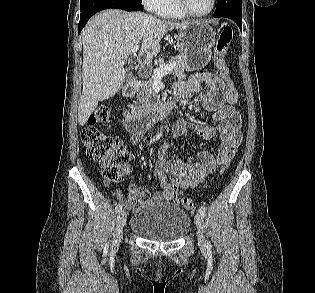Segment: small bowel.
<instances>
[{
    "mask_svg": "<svg viewBox=\"0 0 315 293\" xmlns=\"http://www.w3.org/2000/svg\"><path fill=\"white\" fill-rule=\"evenodd\" d=\"M203 84L207 85L208 92L202 101L203 108L210 113L216 126L191 124L181 119L174 127L171 140L166 142L158 151L153 177L160 183V191L149 196V191L136 185L140 190H131L133 198H126L119 190L113 191V196L125 207L136 212L149 203L175 201L184 190L196 187L202 183L208 174L213 173L216 167L234 157L242 142L241 117L235 103L237 92L230 94L227 85L217 75L209 72L193 74L188 81L178 82L174 86V94L192 100L201 93ZM189 129L206 140L219 135L221 143L214 152L200 151L187 158L170 159L168 150L173 141L184 135ZM142 134H132L130 141L138 144Z\"/></svg>",
    "mask_w": 315,
    "mask_h": 293,
    "instance_id": "c3829d8e",
    "label": "small bowel"
}]
</instances>
